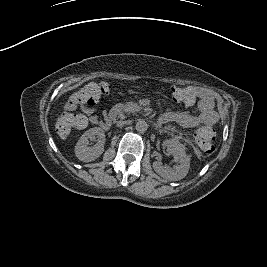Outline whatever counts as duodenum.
Returning <instances> with one entry per match:
<instances>
[{
    "label": "duodenum",
    "mask_w": 267,
    "mask_h": 267,
    "mask_svg": "<svg viewBox=\"0 0 267 267\" xmlns=\"http://www.w3.org/2000/svg\"><path fill=\"white\" fill-rule=\"evenodd\" d=\"M122 114H123L122 108L116 107V108L112 109L109 116H108L107 123L110 125L113 124L114 121L116 120V118L120 117Z\"/></svg>",
    "instance_id": "duodenum-1"
}]
</instances>
